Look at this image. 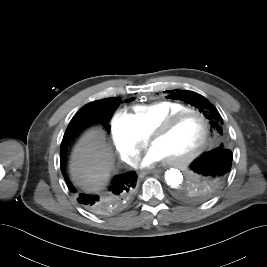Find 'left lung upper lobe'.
I'll list each match as a JSON object with an SVG mask.
<instances>
[{
	"instance_id": "obj_1",
	"label": "left lung upper lobe",
	"mask_w": 267,
	"mask_h": 267,
	"mask_svg": "<svg viewBox=\"0 0 267 267\" xmlns=\"http://www.w3.org/2000/svg\"><path fill=\"white\" fill-rule=\"evenodd\" d=\"M170 93L167 98L174 100H181L191 104L196 107L200 112H202L205 117L209 120L210 126L214 134L223 140L224 131L222 128L223 119L217 111V109L202 95H199L190 91H166ZM215 173V172H214Z\"/></svg>"
}]
</instances>
